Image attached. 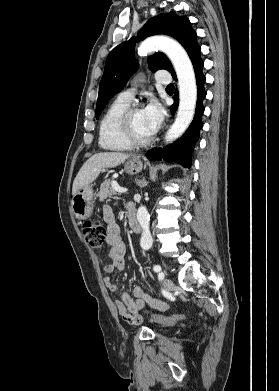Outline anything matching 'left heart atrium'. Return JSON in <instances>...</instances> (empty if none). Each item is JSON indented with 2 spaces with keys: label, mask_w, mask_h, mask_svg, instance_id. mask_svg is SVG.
<instances>
[{
  "label": "left heart atrium",
  "mask_w": 279,
  "mask_h": 391,
  "mask_svg": "<svg viewBox=\"0 0 279 391\" xmlns=\"http://www.w3.org/2000/svg\"><path fill=\"white\" fill-rule=\"evenodd\" d=\"M143 110L151 130L154 132L162 122L163 108L156 100H151Z\"/></svg>",
  "instance_id": "obj_1"
}]
</instances>
